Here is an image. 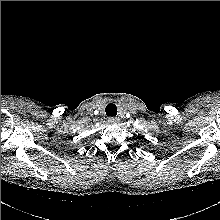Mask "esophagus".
<instances>
[{"label": "esophagus", "mask_w": 220, "mask_h": 220, "mask_svg": "<svg viewBox=\"0 0 220 220\" xmlns=\"http://www.w3.org/2000/svg\"><path fill=\"white\" fill-rule=\"evenodd\" d=\"M119 118H116V117H110V118H108V122L110 123V124H117V123H119Z\"/></svg>", "instance_id": "esophagus-1"}]
</instances>
